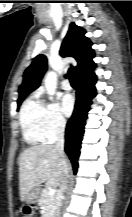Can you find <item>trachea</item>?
Returning a JSON list of instances; mask_svg holds the SVG:
<instances>
[{
	"mask_svg": "<svg viewBox=\"0 0 132 217\" xmlns=\"http://www.w3.org/2000/svg\"><path fill=\"white\" fill-rule=\"evenodd\" d=\"M70 83L74 88L77 86V79L74 75H70Z\"/></svg>",
	"mask_w": 132,
	"mask_h": 217,
	"instance_id": "trachea-1",
	"label": "trachea"
}]
</instances>
